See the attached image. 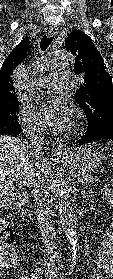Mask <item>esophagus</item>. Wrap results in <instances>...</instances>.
<instances>
[{
  "mask_svg": "<svg viewBox=\"0 0 113 279\" xmlns=\"http://www.w3.org/2000/svg\"><path fill=\"white\" fill-rule=\"evenodd\" d=\"M57 34V28L55 26H51L48 28L47 30V35L49 37L55 36ZM56 153L58 156H67L68 155V149L66 147H64L63 145H60L57 150Z\"/></svg>",
  "mask_w": 113,
  "mask_h": 279,
  "instance_id": "1",
  "label": "esophagus"
}]
</instances>
